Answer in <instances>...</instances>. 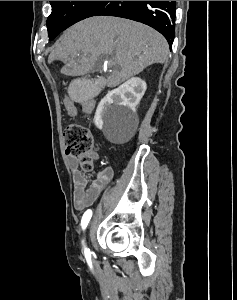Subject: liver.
I'll return each instance as SVG.
<instances>
[{"label":"liver","instance_id":"liver-1","mask_svg":"<svg viewBox=\"0 0 237 300\" xmlns=\"http://www.w3.org/2000/svg\"><path fill=\"white\" fill-rule=\"evenodd\" d=\"M48 63L63 61V75H87L107 61V87H117L153 63H165L168 43L160 33L128 19L90 17L65 31Z\"/></svg>","mask_w":237,"mask_h":300}]
</instances>
